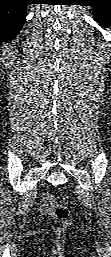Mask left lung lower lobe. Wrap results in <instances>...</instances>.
I'll use <instances>...</instances> for the list:
<instances>
[{
  "label": "left lung lower lobe",
  "instance_id": "left-lung-lower-lobe-1",
  "mask_svg": "<svg viewBox=\"0 0 111 257\" xmlns=\"http://www.w3.org/2000/svg\"><path fill=\"white\" fill-rule=\"evenodd\" d=\"M92 7L93 15L100 25H111V0H95Z\"/></svg>",
  "mask_w": 111,
  "mask_h": 257
}]
</instances>
